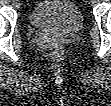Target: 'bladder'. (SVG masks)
Returning a JSON list of instances; mask_svg holds the SVG:
<instances>
[{"instance_id": "obj_1", "label": "bladder", "mask_w": 111, "mask_h": 106, "mask_svg": "<svg viewBox=\"0 0 111 106\" xmlns=\"http://www.w3.org/2000/svg\"><path fill=\"white\" fill-rule=\"evenodd\" d=\"M31 24L41 30L72 34L79 32L84 23L82 12L70 0H41L32 8Z\"/></svg>"}]
</instances>
